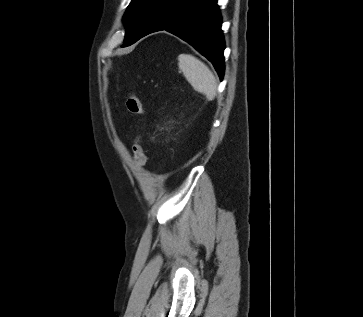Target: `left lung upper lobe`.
<instances>
[{"label": "left lung upper lobe", "mask_w": 363, "mask_h": 317, "mask_svg": "<svg viewBox=\"0 0 363 317\" xmlns=\"http://www.w3.org/2000/svg\"><path fill=\"white\" fill-rule=\"evenodd\" d=\"M158 0H132L129 4L124 21L126 25L123 46L136 42L146 29Z\"/></svg>", "instance_id": "1"}]
</instances>
